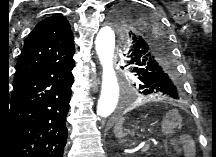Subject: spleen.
I'll return each instance as SVG.
<instances>
[{"instance_id": "3e777b00", "label": "spleen", "mask_w": 216, "mask_h": 157, "mask_svg": "<svg viewBox=\"0 0 216 157\" xmlns=\"http://www.w3.org/2000/svg\"><path fill=\"white\" fill-rule=\"evenodd\" d=\"M122 124H123V119L120 120L116 126L114 127V134L117 138H122L125 134L123 133V127H122Z\"/></svg>"}]
</instances>
